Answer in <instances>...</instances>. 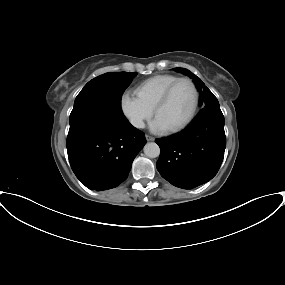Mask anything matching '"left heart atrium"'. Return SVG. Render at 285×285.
Listing matches in <instances>:
<instances>
[{
    "instance_id": "1",
    "label": "left heart atrium",
    "mask_w": 285,
    "mask_h": 285,
    "mask_svg": "<svg viewBox=\"0 0 285 285\" xmlns=\"http://www.w3.org/2000/svg\"><path fill=\"white\" fill-rule=\"evenodd\" d=\"M150 130L154 133H165L169 128L163 123L159 117H155L154 120L150 123Z\"/></svg>"
}]
</instances>
